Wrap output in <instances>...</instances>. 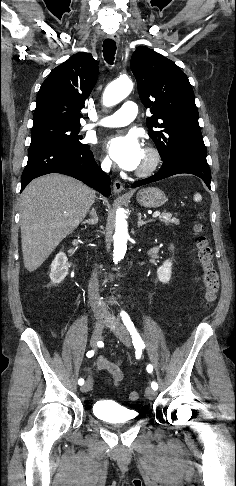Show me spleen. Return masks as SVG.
Masks as SVG:
<instances>
[{
  "label": "spleen",
  "instance_id": "3e777b00",
  "mask_svg": "<svg viewBox=\"0 0 236 486\" xmlns=\"http://www.w3.org/2000/svg\"><path fill=\"white\" fill-rule=\"evenodd\" d=\"M194 200H195L196 202L201 201V200H202L201 195H200L199 193H196V194L194 195Z\"/></svg>",
  "mask_w": 236,
  "mask_h": 486
}]
</instances>
